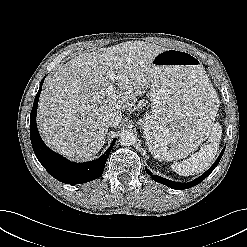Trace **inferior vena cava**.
<instances>
[{
	"instance_id": "1",
	"label": "inferior vena cava",
	"mask_w": 247,
	"mask_h": 247,
	"mask_svg": "<svg viewBox=\"0 0 247 247\" xmlns=\"http://www.w3.org/2000/svg\"><path fill=\"white\" fill-rule=\"evenodd\" d=\"M121 118V115H119L118 113H114L107 116L106 123L108 126L114 127L121 122Z\"/></svg>"
}]
</instances>
